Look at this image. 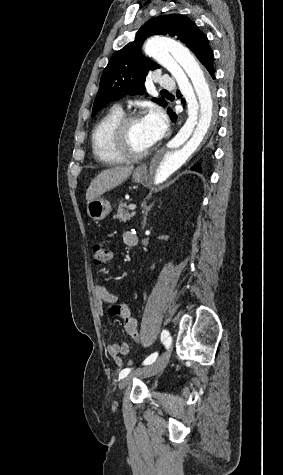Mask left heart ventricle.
Returning <instances> with one entry per match:
<instances>
[{
    "label": "left heart ventricle",
    "mask_w": 283,
    "mask_h": 475,
    "mask_svg": "<svg viewBox=\"0 0 283 475\" xmlns=\"http://www.w3.org/2000/svg\"><path fill=\"white\" fill-rule=\"evenodd\" d=\"M144 118H139L131 125L127 144L110 143L104 149L105 153L112 157H127L131 154H140L149 150L154 142L150 139Z\"/></svg>",
    "instance_id": "b2bd125f"
}]
</instances>
